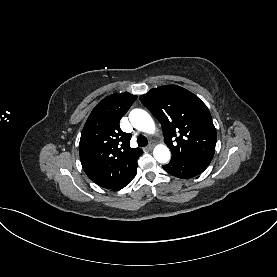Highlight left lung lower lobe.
Returning a JSON list of instances; mask_svg holds the SVG:
<instances>
[{"mask_svg": "<svg viewBox=\"0 0 277 277\" xmlns=\"http://www.w3.org/2000/svg\"><path fill=\"white\" fill-rule=\"evenodd\" d=\"M210 162L211 160L200 158L173 157L163 169L178 178L189 179L202 173Z\"/></svg>", "mask_w": 277, "mask_h": 277, "instance_id": "left-lung-lower-lobe-1", "label": "left lung lower lobe"}]
</instances>
